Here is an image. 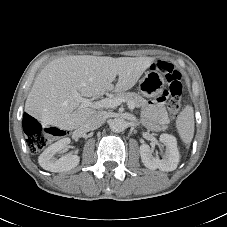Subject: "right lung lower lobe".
<instances>
[{
    "label": "right lung lower lobe",
    "instance_id": "obj_1",
    "mask_svg": "<svg viewBox=\"0 0 227 227\" xmlns=\"http://www.w3.org/2000/svg\"><path fill=\"white\" fill-rule=\"evenodd\" d=\"M32 118L28 114L24 113V118H23V126L27 124L28 120Z\"/></svg>",
    "mask_w": 227,
    "mask_h": 227
}]
</instances>
